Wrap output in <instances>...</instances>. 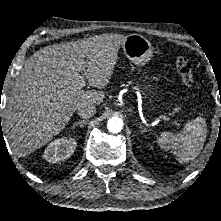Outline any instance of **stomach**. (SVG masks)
Listing matches in <instances>:
<instances>
[{
	"label": "stomach",
	"mask_w": 221,
	"mask_h": 221,
	"mask_svg": "<svg viewBox=\"0 0 221 221\" xmlns=\"http://www.w3.org/2000/svg\"><path fill=\"white\" fill-rule=\"evenodd\" d=\"M125 56L136 65L148 63L153 56V47L140 34H129L121 45Z\"/></svg>",
	"instance_id": "1"
}]
</instances>
